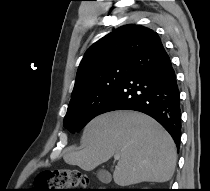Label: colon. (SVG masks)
I'll return each instance as SVG.
<instances>
[{"instance_id": "obj_1", "label": "colon", "mask_w": 210, "mask_h": 191, "mask_svg": "<svg viewBox=\"0 0 210 191\" xmlns=\"http://www.w3.org/2000/svg\"><path fill=\"white\" fill-rule=\"evenodd\" d=\"M88 179L77 170L62 169L37 176L35 191H86Z\"/></svg>"}]
</instances>
